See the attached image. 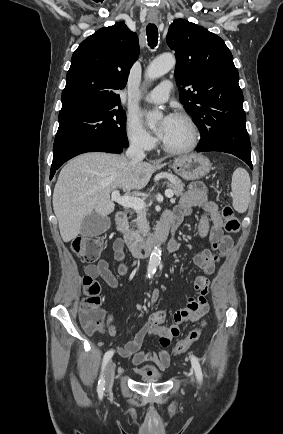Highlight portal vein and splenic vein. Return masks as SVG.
<instances>
[{"instance_id":"1","label":"portal vein and splenic vein","mask_w":283,"mask_h":434,"mask_svg":"<svg viewBox=\"0 0 283 434\" xmlns=\"http://www.w3.org/2000/svg\"><path fill=\"white\" fill-rule=\"evenodd\" d=\"M173 195L172 190L168 189L165 191V196L167 198L172 199ZM111 198L113 201L126 208H132L137 211H142L145 208V202L143 199L133 196H121L118 190L112 192Z\"/></svg>"}]
</instances>
